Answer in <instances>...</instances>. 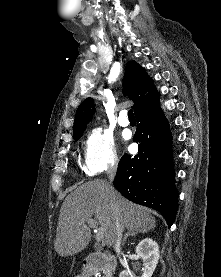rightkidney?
<instances>
[{
	"label": "right kidney",
	"mask_w": 221,
	"mask_h": 277,
	"mask_svg": "<svg viewBox=\"0 0 221 277\" xmlns=\"http://www.w3.org/2000/svg\"><path fill=\"white\" fill-rule=\"evenodd\" d=\"M138 257L143 260L144 269L141 277H152L158 264L160 252L157 242L151 238H145L136 246ZM119 277H136L130 269L121 271Z\"/></svg>",
	"instance_id": "right-kidney-1"
}]
</instances>
